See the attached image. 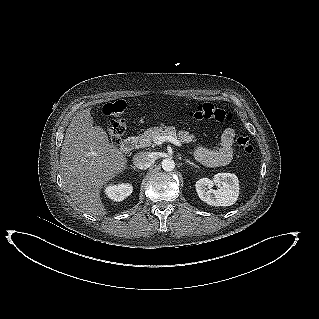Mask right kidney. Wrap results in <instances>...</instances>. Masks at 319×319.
<instances>
[{
	"label": "right kidney",
	"mask_w": 319,
	"mask_h": 319,
	"mask_svg": "<svg viewBox=\"0 0 319 319\" xmlns=\"http://www.w3.org/2000/svg\"><path fill=\"white\" fill-rule=\"evenodd\" d=\"M133 187L129 183H119L106 188V194L113 201H123L132 193Z\"/></svg>",
	"instance_id": "1"
}]
</instances>
